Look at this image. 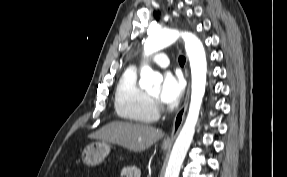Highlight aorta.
I'll list each match as a JSON object with an SVG mask.
<instances>
[{
    "label": "aorta",
    "mask_w": 287,
    "mask_h": 177,
    "mask_svg": "<svg viewBox=\"0 0 287 177\" xmlns=\"http://www.w3.org/2000/svg\"><path fill=\"white\" fill-rule=\"evenodd\" d=\"M179 37L185 42V50L191 67V101L185 123L174 143L164 177H178L186 153L191 145L198 121L202 100L205 94L207 61L204 46L200 39L189 32L174 29L154 31L145 41L144 53L149 56L171 44ZM162 76L149 66L141 69L139 85L145 90L160 85Z\"/></svg>",
    "instance_id": "1"
}]
</instances>
